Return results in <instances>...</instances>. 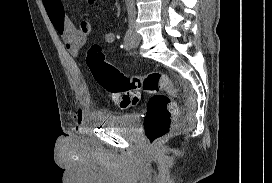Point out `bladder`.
<instances>
[{
    "mask_svg": "<svg viewBox=\"0 0 272 183\" xmlns=\"http://www.w3.org/2000/svg\"><path fill=\"white\" fill-rule=\"evenodd\" d=\"M98 121L106 128L133 131L139 122L137 113L105 115Z\"/></svg>",
    "mask_w": 272,
    "mask_h": 183,
    "instance_id": "obj_1",
    "label": "bladder"
}]
</instances>
